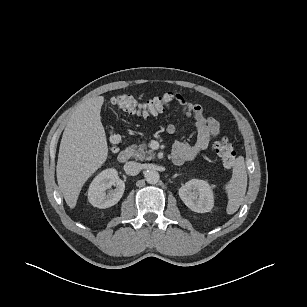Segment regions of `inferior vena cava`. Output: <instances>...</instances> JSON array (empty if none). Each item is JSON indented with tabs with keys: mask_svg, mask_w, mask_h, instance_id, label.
<instances>
[{
	"mask_svg": "<svg viewBox=\"0 0 307 307\" xmlns=\"http://www.w3.org/2000/svg\"><path fill=\"white\" fill-rule=\"evenodd\" d=\"M141 169H142L141 164L134 161L126 162L124 165L125 172L132 176L137 175Z\"/></svg>",
	"mask_w": 307,
	"mask_h": 307,
	"instance_id": "602c4592",
	"label": "inferior vena cava"
}]
</instances>
